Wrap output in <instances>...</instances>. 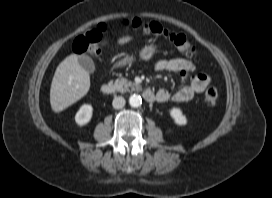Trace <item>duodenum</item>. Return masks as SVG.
Segmentation results:
<instances>
[{"label": "duodenum", "instance_id": "duodenum-1", "mask_svg": "<svg viewBox=\"0 0 272 198\" xmlns=\"http://www.w3.org/2000/svg\"><path fill=\"white\" fill-rule=\"evenodd\" d=\"M101 92L104 95H113L116 93V88L113 84L105 83L101 86ZM143 97L147 102L155 101V94L151 90H145L143 92Z\"/></svg>", "mask_w": 272, "mask_h": 198}]
</instances>
